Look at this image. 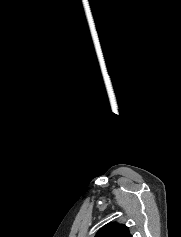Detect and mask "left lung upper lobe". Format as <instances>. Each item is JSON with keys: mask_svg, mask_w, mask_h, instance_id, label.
<instances>
[{"mask_svg": "<svg viewBox=\"0 0 181 237\" xmlns=\"http://www.w3.org/2000/svg\"><path fill=\"white\" fill-rule=\"evenodd\" d=\"M95 237H131V235L125 225L111 222L102 227Z\"/></svg>", "mask_w": 181, "mask_h": 237, "instance_id": "5c2ea615", "label": "left lung upper lobe"}]
</instances>
